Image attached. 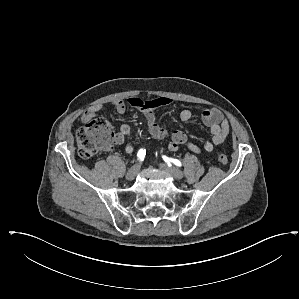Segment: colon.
I'll list each match as a JSON object with an SVG mask.
<instances>
[{
  "label": "colon",
  "mask_w": 299,
  "mask_h": 299,
  "mask_svg": "<svg viewBox=\"0 0 299 299\" xmlns=\"http://www.w3.org/2000/svg\"><path fill=\"white\" fill-rule=\"evenodd\" d=\"M116 139L117 134L108 120L102 117L92 118L76 132L78 155L81 159H89L101 151L110 149ZM218 161L226 165L228 158L219 154Z\"/></svg>",
  "instance_id": "5ec220e1"
}]
</instances>
